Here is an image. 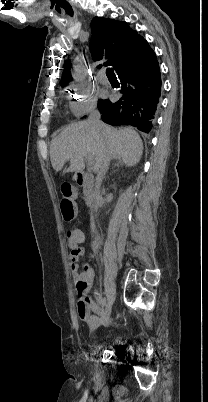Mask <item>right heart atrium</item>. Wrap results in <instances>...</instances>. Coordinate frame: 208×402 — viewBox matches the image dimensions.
I'll list each match as a JSON object with an SVG mask.
<instances>
[{
	"label": "right heart atrium",
	"instance_id": "right-heart-atrium-1",
	"mask_svg": "<svg viewBox=\"0 0 208 402\" xmlns=\"http://www.w3.org/2000/svg\"><path fill=\"white\" fill-rule=\"evenodd\" d=\"M70 89L74 97L71 109L75 116L79 117L96 106L97 92L92 84L76 82L71 85Z\"/></svg>",
	"mask_w": 208,
	"mask_h": 402
}]
</instances>
